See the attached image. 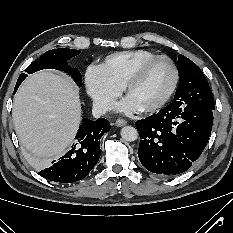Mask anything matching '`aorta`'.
<instances>
[{"label": "aorta", "mask_w": 233, "mask_h": 233, "mask_svg": "<svg viewBox=\"0 0 233 233\" xmlns=\"http://www.w3.org/2000/svg\"><path fill=\"white\" fill-rule=\"evenodd\" d=\"M121 137L125 141L133 142L138 138V131L132 126H125L121 129Z\"/></svg>", "instance_id": "762f6f07"}]
</instances>
